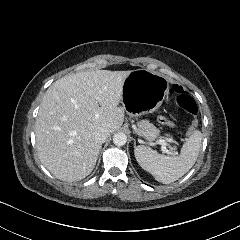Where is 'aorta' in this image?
<instances>
[{"mask_svg": "<svg viewBox=\"0 0 240 240\" xmlns=\"http://www.w3.org/2000/svg\"><path fill=\"white\" fill-rule=\"evenodd\" d=\"M127 142V136L123 132H118L113 136V143L116 146H123Z\"/></svg>", "mask_w": 240, "mask_h": 240, "instance_id": "762f6f07", "label": "aorta"}]
</instances>
